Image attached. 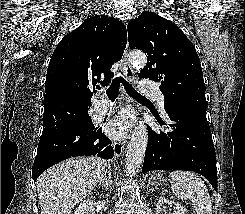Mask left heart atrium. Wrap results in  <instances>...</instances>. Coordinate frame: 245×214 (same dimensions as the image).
<instances>
[{"label":"left heart atrium","instance_id":"left-heart-atrium-1","mask_svg":"<svg viewBox=\"0 0 245 214\" xmlns=\"http://www.w3.org/2000/svg\"><path fill=\"white\" fill-rule=\"evenodd\" d=\"M130 125V116L127 113H122L112 120L108 127V133L114 137H120L128 129Z\"/></svg>","mask_w":245,"mask_h":214}]
</instances>
